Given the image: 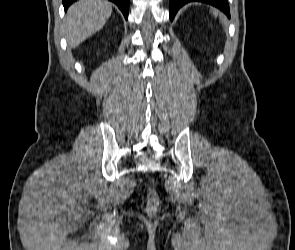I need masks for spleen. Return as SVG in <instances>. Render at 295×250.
<instances>
[{"label": "spleen", "instance_id": "1", "mask_svg": "<svg viewBox=\"0 0 295 250\" xmlns=\"http://www.w3.org/2000/svg\"><path fill=\"white\" fill-rule=\"evenodd\" d=\"M212 13L215 17L219 14L220 20H221L222 24L224 25V27L227 25L225 22V17L222 14H220L217 10L212 9Z\"/></svg>", "mask_w": 295, "mask_h": 250}]
</instances>
